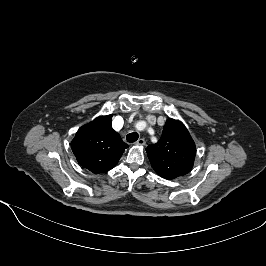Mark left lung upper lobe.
Listing matches in <instances>:
<instances>
[{"instance_id": "1", "label": "left lung upper lobe", "mask_w": 266, "mask_h": 266, "mask_svg": "<svg viewBox=\"0 0 266 266\" xmlns=\"http://www.w3.org/2000/svg\"><path fill=\"white\" fill-rule=\"evenodd\" d=\"M146 152L157 174L172 180L191 171L196 147L184 124L168 119L160 140L149 145Z\"/></svg>"}]
</instances>
